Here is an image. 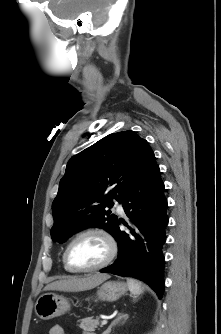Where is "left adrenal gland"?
I'll use <instances>...</instances> for the list:
<instances>
[{"label": "left adrenal gland", "instance_id": "left-adrenal-gland-1", "mask_svg": "<svg viewBox=\"0 0 221 334\" xmlns=\"http://www.w3.org/2000/svg\"><path fill=\"white\" fill-rule=\"evenodd\" d=\"M129 318L128 314L125 313H118L117 317L112 321L110 326L102 333V334H110L111 329L118 325V324H123L125 321Z\"/></svg>", "mask_w": 221, "mask_h": 334}]
</instances>
